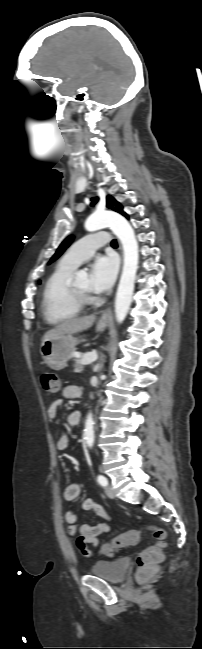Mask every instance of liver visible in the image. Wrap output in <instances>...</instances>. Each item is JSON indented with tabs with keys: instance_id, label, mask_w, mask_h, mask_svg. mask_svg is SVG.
<instances>
[{
	"instance_id": "obj_1",
	"label": "liver",
	"mask_w": 202,
	"mask_h": 649,
	"mask_svg": "<svg viewBox=\"0 0 202 649\" xmlns=\"http://www.w3.org/2000/svg\"><path fill=\"white\" fill-rule=\"evenodd\" d=\"M94 321H95L94 315L66 320L58 324L55 328L47 331L42 337L41 341L44 342L46 340L56 339L59 336L68 333H76L79 331L86 330L92 326Z\"/></svg>"
}]
</instances>
